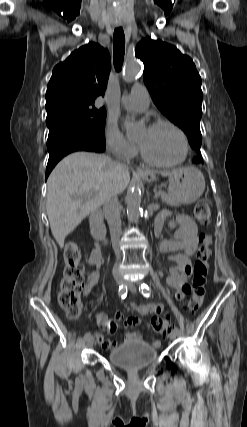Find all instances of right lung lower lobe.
<instances>
[{
    "label": "right lung lower lobe",
    "instance_id": "1",
    "mask_svg": "<svg viewBox=\"0 0 247 427\" xmlns=\"http://www.w3.org/2000/svg\"><path fill=\"white\" fill-rule=\"evenodd\" d=\"M47 149L49 160L46 167V179L58 161L67 154L75 151L103 152L105 145L69 129L53 128L49 129Z\"/></svg>",
    "mask_w": 247,
    "mask_h": 427
}]
</instances>
